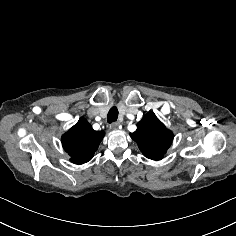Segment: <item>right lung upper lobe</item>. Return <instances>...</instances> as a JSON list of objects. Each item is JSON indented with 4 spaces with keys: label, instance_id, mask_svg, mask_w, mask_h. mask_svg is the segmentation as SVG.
I'll use <instances>...</instances> for the list:
<instances>
[{
    "label": "right lung upper lobe",
    "instance_id": "cb5924a9",
    "mask_svg": "<svg viewBox=\"0 0 236 236\" xmlns=\"http://www.w3.org/2000/svg\"><path fill=\"white\" fill-rule=\"evenodd\" d=\"M103 137V131L93 130L90 123L82 117L62 136V145L73 163L83 164L93 158Z\"/></svg>",
    "mask_w": 236,
    "mask_h": 236
}]
</instances>
